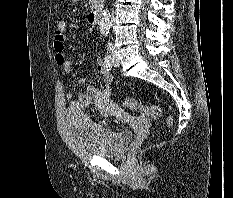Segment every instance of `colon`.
Wrapping results in <instances>:
<instances>
[{
	"label": "colon",
	"mask_w": 233,
	"mask_h": 198,
	"mask_svg": "<svg viewBox=\"0 0 233 198\" xmlns=\"http://www.w3.org/2000/svg\"><path fill=\"white\" fill-rule=\"evenodd\" d=\"M65 22L63 20H58L56 22V26H55V34L58 36H61L64 31H65ZM125 106L128 109L131 110H137L139 109L141 111V113L147 117L153 118V119H157L161 117L162 114V110L160 108V106L158 105H141L139 104V102L133 98H126L125 99ZM172 117L168 116L167 118V126H170L172 124Z\"/></svg>",
	"instance_id": "5ec220e1"
}]
</instances>
